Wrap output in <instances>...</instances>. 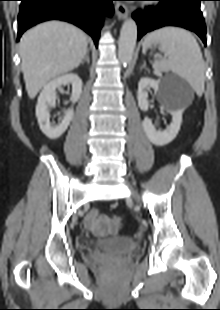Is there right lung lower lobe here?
I'll return each instance as SVG.
<instances>
[{"instance_id": "right-lung-lower-lobe-1", "label": "right lung lower lobe", "mask_w": 220, "mask_h": 310, "mask_svg": "<svg viewBox=\"0 0 220 310\" xmlns=\"http://www.w3.org/2000/svg\"><path fill=\"white\" fill-rule=\"evenodd\" d=\"M113 0H21L18 40L30 27L52 19L73 23L98 44L104 14L111 16Z\"/></svg>"}]
</instances>
